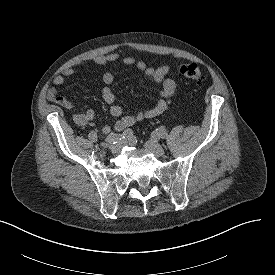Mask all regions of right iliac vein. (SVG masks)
I'll list each match as a JSON object with an SVG mask.
<instances>
[{
    "label": "right iliac vein",
    "mask_w": 275,
    "mask_h": 275,
    "mask_svg": "<svg viewBox=\"0 0 275 275\" xmlns=\"http://www.w3.org/2000/svg\"><path fill=\"white\" fill-rule=\"evenodd\" d=\"M122 146H123V143L119 142L117 144L110 145L109 148L113 153H117L121 150Z\"/></svg>",
    "instance_id": "1"
}]
</instances>
